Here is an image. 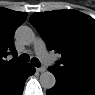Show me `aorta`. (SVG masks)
Returning a JSON list of instances; mask_svg holds the SVG:
<instances>
[{"label":"aorta","instance_id":"aorta-1","mask_svg":"<svg viewBox=\"0 0 95 95\" xmlns=\"http://www.w3.org/2000/svg\"><path fill=\"white\" fill-rule=\"evenodd\" d=\"M16 39L24 45L31 44L35 39L33 30L28 26H20L15 33ZM56 83L55 76L45 71L40 75V84L44 89H51Z\"/></svg>","mask_w":95,"mask_h":95}]
</instances>
